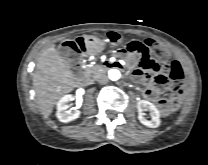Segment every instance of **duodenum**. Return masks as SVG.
<instances>
[{"mask_svg":"<svg viewBox=\"0 0 208 165\" xmlns=\"http://www.w3.org/2000/svg\"><path fill=\"white\" fill-rule=\"evenodd\" d=\"M109 65L108 64H104L103 65V68H108ZM92 82V78L88 75H81L79 76V83L80 85H89L90 83Z\"/></svg>","mask_w":208,"mask_h":165,"instance_id":"410a0bca","label":"duodenum"}]
</instances>
